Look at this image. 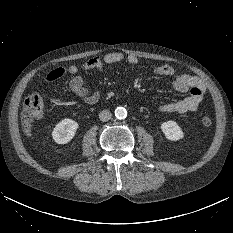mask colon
<instances>
[{"mask_svg":"<svg viewBox=\"0 0 233 233\" xmlns=\"http://www.w3.org/2000/svg\"><path fill=\"white\" fill-rule=\"evenodd\" d=\"M43 108L44 103L41 95L34 93L25 99L21 112V121L25 132L30 133L32 131L33 122L41 117ZM201 123L203 126L209 127L212 124V120L209 117H203Z\"/></svg>","mask_w":233,"mask_h":233,"instance_id":"5ec220e1","label":"colon"}]
</instances>
